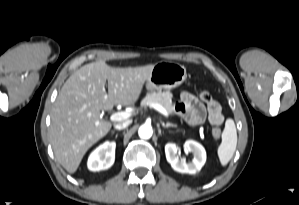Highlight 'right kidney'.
Wrapping results in <instances>:
<instances>
[{"mask_svg": "<svg viewBox=\"0 0 299 205\" xmlns=\"http://www.w3.org/2000/svg\"><path fill=\"white\" fill-rule=\"evenodd\" d=\"M115 142H105L98 146L89 156L87 166L91 171L110 168L115 160Z\"/></svg>", "mask_w": 299, "mask_h": 205, "instance_id": "ca27d5eb", "label": "right kidney"}]
</instances>
